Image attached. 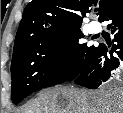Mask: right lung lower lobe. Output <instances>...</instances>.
<instances>
[{
  "instance_id": "1",
  "label": "right lung lower lobe",
  "mask_w": 123,
  "mask_h": 113,
  "mask_svg": "<svg viewBox=\"0 0 123 113\" xmlns=\"http://www.w3.org/2000/svg\"><path fill=\"white\" fill-rule=\"evenodd\" d=\"M100 21H110L108 28L114 34L115 44L111 49L104 44L96 46L82 72L74 79L76 84L91 89H97L114 70L123 67V0L111 6Z\"/></svg>"
}]
</instances>
